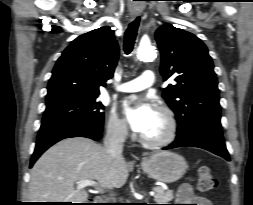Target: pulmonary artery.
I'll return each mask as SVG.
<instances>
[{"label": "pulmonary artery", "instance_id": "pulmonary-artery-1", "mask_svg": "<svg viewBox=\"0 0 253 205\" xmlns=\"http://www.w3.org/2000/svg\"><path fill=\"white\" fill-rule=\"evenodd\" d=\"M154 82V72L145 70L138 78L119 85L117 90L120 92H137L152 86Z\"/></svg>", "mask_w": 253, "mask_h": 205}]
</instances>
